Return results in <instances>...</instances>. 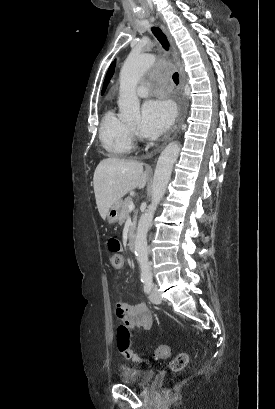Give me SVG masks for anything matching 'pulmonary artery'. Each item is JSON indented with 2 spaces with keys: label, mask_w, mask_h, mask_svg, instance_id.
Returning <instances> with one entry per match:
<instances>
[{
  "label": "pulmonary artery",
  "mask_w": 275,
  "mask_h": 409,
  "mask_svg": "<svg viewBox=\"0 0 275 409\" xmlns=\"http://www.w3.org/2000/svg\"><path fill=\"white\" fill-rule=\"evenodd\" d=\"M137 90L140 97H145L146 93L150 91V88L147 86H139Z\"/></svg>",
  "instance_id": "1"
}]
</instances>
